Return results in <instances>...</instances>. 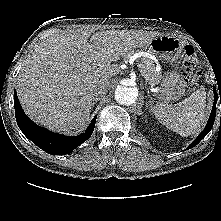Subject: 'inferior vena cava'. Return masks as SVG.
Instances as JSON below:
<instances>
[{
	"label": "inferior vena cava",
	"mask_w": 221,
	"mask_h": 221,
	"mask_svg": "<svg viewBox=\"0 0 221 221\" xmlns=\"http://www.w3.org/2000/svg\"><path fill=\"white\" fill-rule=\"evenodd\" d=\"M106 94H107V87L101 86L94 91L93 99L94 100L100 99V98L104 97Z\"/></svg>",
	"instance_id": "1"
}]
</instances>
